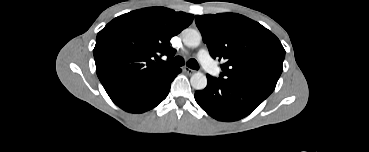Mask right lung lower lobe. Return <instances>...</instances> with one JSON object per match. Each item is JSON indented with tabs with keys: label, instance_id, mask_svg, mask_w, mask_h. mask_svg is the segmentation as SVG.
Returning <instances> with one entry per match:
<instances>
[{
	"label": "right lung lower lobe",
	"instance_id": "right-lung-lower-lobe-1",
	"mask_svg": "<svg viewBox=\"0 0 369 152\" xmlns=\"http://www.w3.org/2000/svg\"><path fill=\"white\" fill-rule=\"evenodd\" d=\"M180 72V68H172L159 76L141 81L110 95V98L127 112L143 113L156 107L167 97L171 82Z\"/></svg>",
	"mask_w": 369,
	"mask_h": 152
}]
</instances>
